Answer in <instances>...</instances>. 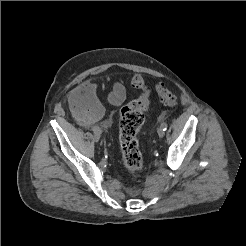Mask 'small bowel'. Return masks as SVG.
<instances>
[{
    "mask_svg": "<svg viewBox=\"0 0 246 246\" xmlns=\"http://www.w3.org/2000/svg\"><path fill=\"white\" fill-rule=\"evenodd\" d=\"M106 99L112 107L120 106L126 99L125 86L121 82H115ZM69 103L81 126L88 127L102 117L103 105L98 97L97 85L90 80L73 89Z\"/></svg>",
    "mask_w": 246,
    "mask_h": 246,
    "instance_id": "1",
    "label": "small bowel"
}]
</instances>
